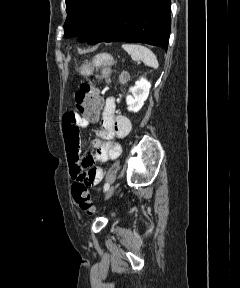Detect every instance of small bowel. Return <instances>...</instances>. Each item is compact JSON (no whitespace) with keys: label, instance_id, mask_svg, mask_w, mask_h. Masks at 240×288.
<instances>
[{"label":"small bowel","instance_id":"obj_1","mask_svg":"<svg viewBox=\"0 0 240 288\" xmlns=\"http://www.w3.org/2000/svg\"><path fill=\"white\" fill-rule=\"evenodd\" d=\"M89 125L90 122L75 111H68L63 116V134L71 177L75 183L95 186L103 179L104 169L93 166V162L105 163L120 155L121 146L117 139L130 133L131 122L128 117L117 112L114 97H107L103 103L101 128L92 141L95 153L82 158L79 132Z\"/></svg>","mask_w":240,"mask_h":288}]
</instances>
